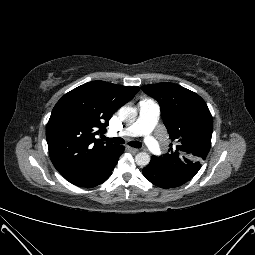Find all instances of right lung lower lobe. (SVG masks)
Here are the masks:
<instances>
[{
    "mask_svg": "<svg viewBox=\"0 0 255 255\" xmlns=\"http://www.w3.org/2000/svg\"><path fill=\"white\" fill-rule=\"evenodd\" d=\"M124 152V147L118 145L114 156L102 167L98 168L94 172L88 174L87 176L80 178L75 181H70L72 184L79 187H95L104 181H106L112 174V171L118 162L120 155Z\"/></svg>",
    "mask_w": 255,
    "mask_h": 255,
    "instance_id": "1",
    "label": "right lung lower lobe"
}]
</instances>
